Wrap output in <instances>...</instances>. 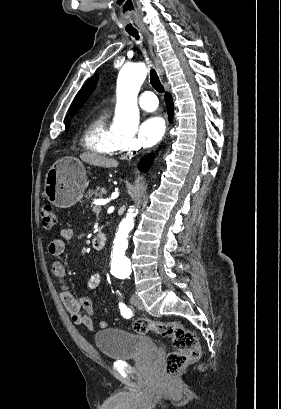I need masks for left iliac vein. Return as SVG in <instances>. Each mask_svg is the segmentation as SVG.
<instances>
[{
	"label": "left iliac vein",
	"instance_id": "left-iliac-vein-1",
	"mask_svg": "<svg viewBox=\"0 0 281 409\" xmlns=\"http://www.w3.org/2000/svg\"><path fill=\"white\" fill-rule=\"evenodd\" d=\"M131 304L134 306H142V301L137 294H133L130 298Z\"/></svg>",
	"mask_w": 281,
	"mask_h": 409
}]
</instances>
